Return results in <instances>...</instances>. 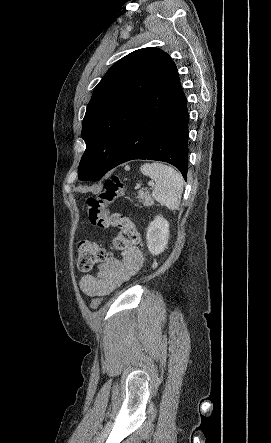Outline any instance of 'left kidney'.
<instances>
[{"instance_id": "obj_1", "label": "left kidney", "mask_w": 271, "mask_h": 443, "mask_svg": "<svg viewBox=\"0 0 271 443\" xmlns=\"http://www.w3.org/2000/svg\"><path fill=\"white\" fill-rule=\"evenodd\" d=\"M169 237V223L161 216H155L147 229V247L153 255L164 251Z\"/></svg>"}]
</instances>
